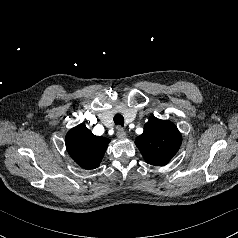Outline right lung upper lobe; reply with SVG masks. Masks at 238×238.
Segmentation results:
<instances>
[{
  "mask_svg": "<svg viewBox=\"0 0 238 238\" xmlns=\"http://www.w3.org/2000/svg\"><path fill=\"white\" fill-rule=\"evenodd\" d=\"M66 148L71 158L84 169L99 167L110 142L105 137H99L84 125L71 129L65 138Z\"/></svg>",
  "mask_w": 238,
  "mask_h": 238,
  "instance_id": "obj_1",
  "label": "right lung upper lobe"
}]
</instances>
